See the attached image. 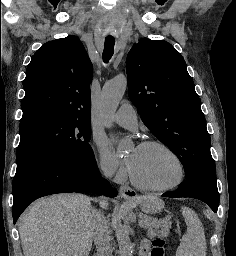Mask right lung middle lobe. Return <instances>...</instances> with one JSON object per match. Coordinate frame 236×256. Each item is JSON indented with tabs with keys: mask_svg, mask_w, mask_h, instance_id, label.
Listing matches in <instances>:
<instances>
[{
	"mask_svg": "<svg viewBox=\"0 0 236 256\" xmlns=\"http://www.w3.org/2000/svg\"><path fill=\"white\" fill-rule=\"evenodd\" d=\"M17 168L45 157L94 158L89 144L90 120H77L54 114H37L21 119Z\"/></svg>",
	"mask_w": 236,
	"mask_h": 256,
	"instance_id": "obj_1",
	"label": "right lung middle lobe"
}]
</instances>
